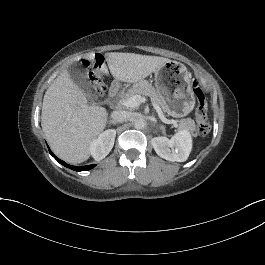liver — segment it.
Instances as JSON below:
<instances>
[{"instance_id": "obj_1", "label": "liver", "mask_w": 265, "mask_h": 265, "mask_svg": "<svg viewBox=\"0 0 265 265\" xmlns=\"http://www.w3.org/2000/svg\"><path fill=\"white\" fill-rule=\"evenodd\" d=\"M105 59L113 77L129 83L146 78L170 62L164 57L119 52L106 53ZM100 72L108 74L107 67L103 65ZM107 115L105 108L87 104L85 94L64 69L44 95L41 126L52 151L76 164L89 158L90 142L104 130Z\"/></svg>"}]
</instances>
